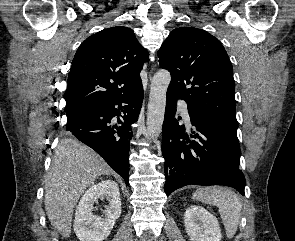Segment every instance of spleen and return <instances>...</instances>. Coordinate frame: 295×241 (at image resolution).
<instances>
[{
	"label": "spleen",
	"mask_w": 295,
	"mask_h": 241,
	"mask_svg": "<svg viewBox=\"0 0 295 241\" xmlns=\"http://www.w3.org/2000/svg\"><path fill=\"white\" fill-rule=\"evenodd\" d=\"M193 199L218 207L228 238L237 231L242 204L232 190L221 186L203 187L196 190Z\"/></svg>",
	"instance_id": "3e777b00"
}]
</instances>
